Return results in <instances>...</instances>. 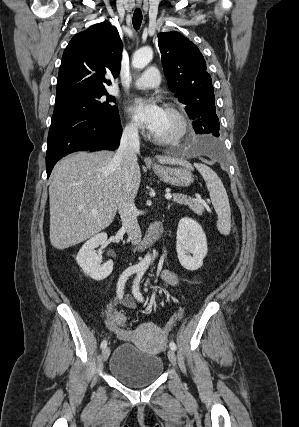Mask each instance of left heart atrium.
I'll return each mask as SVG.
<instances>
[{"label":"left heart atrium","mask_w":299,"mask_h":427,"mask_svg":"<svg viewBox=\"0 0 299 427\" xmlns=\"http://www.w3.org/2000/svg\"><path fill=\"white\" fill-rule=\"evenodd\" d=\"M135 122L154 132L163 116V108L153 99H134L127 108Z\"/></svg>","instance_id":"left-heart-atrium-1"}]
</instances>
